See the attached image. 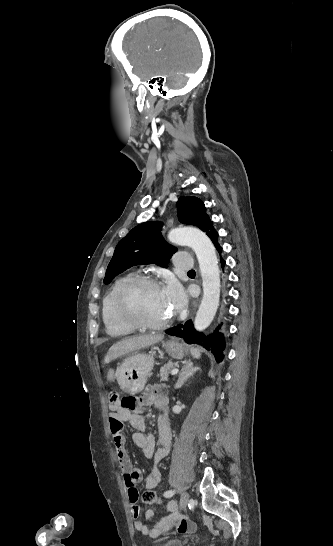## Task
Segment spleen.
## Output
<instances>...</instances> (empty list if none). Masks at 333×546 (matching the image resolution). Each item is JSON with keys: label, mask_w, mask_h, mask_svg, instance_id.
<instances>
[{"label": "spleen", "mask_w": 333, "mask_h": 546, "mask_svg": "<svg viewBox=\"0 0 333 546\" xmlns=\"http://www.w3.org/2000/svg\"><path fill=\"white\" fill-rule=\"evenodd\" d=\"M190 352H191L192 356H193L194 358H196V359H199L200 356H201L200 350H199L198 348L192 347V348L190 349Z\"/></svg>", "instance_id": "3e777b00"}]
</instances>
